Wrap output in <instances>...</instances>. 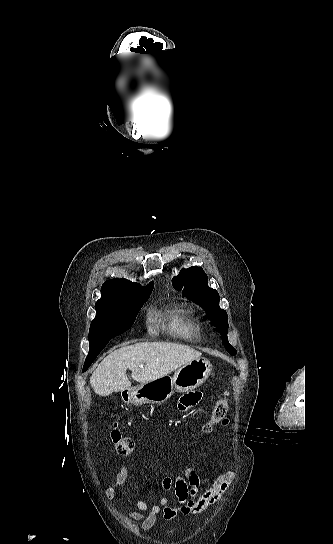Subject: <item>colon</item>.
<instances>
[{
  "mask_svg": "<svg viewBox=\"0 0 333 544\" xmlns=\"http://www.w3.org/2000/svg\"><path fill=\"white\" fill-rule=\"evenodd\" d=\"M229 409V400L227 395H225L223 398L218 400L216 404L214 405L210 418L208 422L204 426V431H210L212 427L222 421ZM111 440L114 444L116 452L121 455L125 456L130 454L134 447L135 442L130 436L124 435L117 424L114 425L112 431H111Z\"/></svg>",
  "mask_w": 333,
  "mask_h": 544,
  "instance_id": "colon-1",
  "label": "colon"
}]
</instances>
